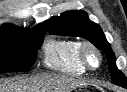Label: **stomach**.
<instances>
[{"mask_svg": "<svg viewBox=\"0 0 127 92\" xmlns=\"http://www.w3.org/2000/svg\"><path fill=\"white\" fill-rule=\"evenodd\" d=\"M86 88H87V87L79 86L78 89H77L78 91H76V92H80V91H82V90H85Z\"/></svg>", "mask_w": 127, "mask_h": 92, "instance_id": "1", "label": "stomach"}]
</instances>
